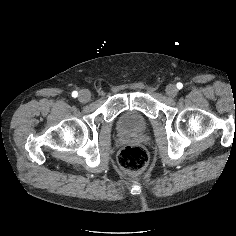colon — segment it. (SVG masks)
<instances>
[{"mask_svg":"<svg viewBox=\"0 0 236 236\" xmlns=\"http://www.w3.org/2000/svg\"><path fill=\"white\" fill-rule=\"evenodd\" d=\"M148 156L140 146H126L118 155L120 169L128 174H139L146 168Z\"/></svg>","mask_w":236,"mask_h":236,"instance_id":"colon-1","label":"colon"}]
</instances>
